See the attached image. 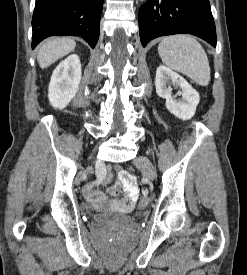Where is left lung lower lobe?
<instances>
[{
  "label": "left lung lower lobe",
  "instance_id": "1",
  "mask_svg": "<svg viewBox=\"0 0 247 275\" xmlns=\"http://www.w3.org/2000/svg\"><path fill=\"white\" fill-rule=\"evenodd\" d=\"M143 47L157 37L188 33L216 46V30L209 0H148L139 9Z\"/></svg>",
  "mask_w": 247,
  "mask_h": 275
}]
</instances>
